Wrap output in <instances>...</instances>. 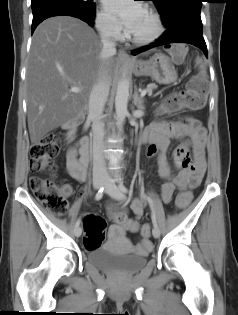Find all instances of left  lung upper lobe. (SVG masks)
<instances>
[{"instance_id":"left-lung-upper-lobe-1","label":"left lung upper lobe","mask_w":238,"mask_h":315,"mask_svg":"<svg viewBox=\"0 0 238 315\" xmlns=\"http://www.w3.org/2000/svg\"><path fill=\"white\" fill-rule=\"evenodd\" d=\"M155 3V6L162 16V22H165L172 18L179 10L188 7H200L202 6V0H151Z\"/></svg>"}]
</instances>
